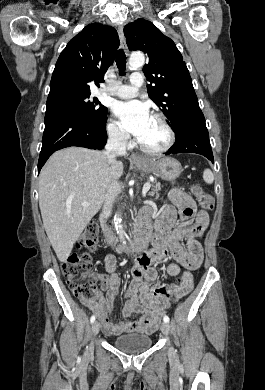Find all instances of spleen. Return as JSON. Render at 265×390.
<instances>
[{
  "mask_svg": "<svg viewBox=\"0 0 265 390\" xmlns=\"http://www.w3.org/2000/svg\"><path fill=\"white\" fill-rule=\"evenodd\" d=\"M203 179L207 184H212L214 181V175L210 169H205L203 172Z\"/></svg>",
  "mask_w": 265,
  "mask_h": 390,
  "instance_id": "obj_1",
  "label": "spleen"
}]
</instances>
